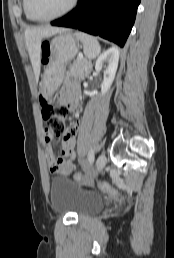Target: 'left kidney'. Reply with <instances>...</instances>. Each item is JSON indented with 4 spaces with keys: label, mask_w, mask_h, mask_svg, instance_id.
<instances>
[{
    "label": "left kidney",
    "mask_w": 174,
    "mask_h": 258,
    "mask_svg": "<svg viewBox=\"0 0 174 258\" xmlns=\"http://www.w3.org/2000/svg\"><path fill=\"white\" fill-rule=\"evenodd\" d=\"M119 61V49L117 47H111L102 53L95 64V69L101 71L104 67V63H107V67L104 70V80L101 85V93L105 94L112 85L115 78V74L118 68Z\"/></svg>",
    "instance_id": "left-kidney-1"
}]
</instances>
